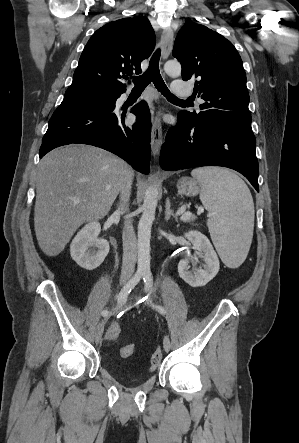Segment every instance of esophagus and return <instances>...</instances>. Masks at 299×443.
Instances as JSON below:
<instances>
[{
    "label": "esophagus",
    "instance_id": "1",
    "mask_svg": "<svg viewBox=\"0 0 299 443\" xmlns=\"http://www.w3.org/2000/svg\"><path fill=\"white\" fill-rule=\"evenodd\" d=\"M174 33L171 27L163 30L161 35V49L163 58H167L172 50ZM162 145V126L159 118H153L151 131V150L154 156L159 154Z\"/></svg>",
    "mask_w": 299,
    "mask_h": 443
}]
</instances>
